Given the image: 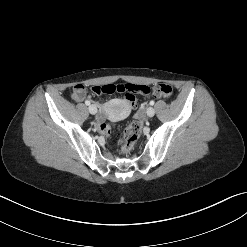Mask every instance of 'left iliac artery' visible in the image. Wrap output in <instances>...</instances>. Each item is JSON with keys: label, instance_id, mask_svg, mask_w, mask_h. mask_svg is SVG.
<instances>
[{"label": "left iliac artery", "instance_id": "1", "mask_svg": "<svg viewBox=\"0 0 247 247\" xmlns=\"http://www.w3.org/2000/svg\"><path fill=\"white\" fill-rule=\"evenodd\" d=\"M154 103H155V102H154L153 100L150 101V105H154Z\"/></svg>", "mask_w": 247, "mask_h": 247}]
</instances>
